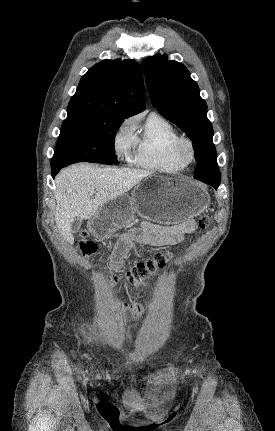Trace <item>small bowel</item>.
Instances as JSON below:
<instances>
[{
  "instance_id": "1",
  "label": "small bowel",
  "mask_w": 275,
  "mask_h": 431,
  "mask_svg": "<svg viewBox=\"0 0 275 431\" xmlns=\"http://www.w3.org/2000/svg\"><path fill=\"white\" fill-rule=\"evenodd\" d=\"M195 230V222L192 219L185 220L179 224L172 226H162L151 222H145L140 231L123 235L115 245L111 256V263L119 265L126 253L130 249L133 241H138L152 246L175 245L183 241L187 234ZM125 310L136 314L137 318L132 323L131 328H136L144 314V311L139 306H123Z\"/></svg>"
}]
</instances>
